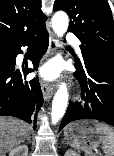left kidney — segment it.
Listing matches in <instances>:
<instances>
[{
  "mask_svg": "<svg viewBox=\"0 0 114 156\" xmlns=\"http://www.w3.org/2000/svg\"><path fill=\"white\" fill-rule=\"evenodd\" d=\"M64 156H79V154L70 149V150L66 151Z\"/></svg>",
  "mask_w": 114,
  "mask_h": 156,
  "instance_id": "obj_1",
  "label": "left kidney"
}]
</instances>
